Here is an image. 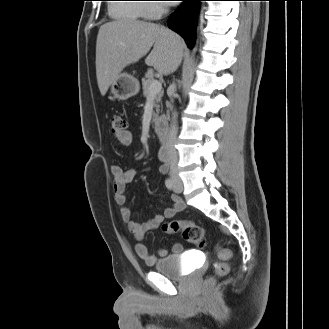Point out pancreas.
I'll return each instance as SVG.
<instances>
[{"label":"pancreas","mask_w":329,"mask_h":329,"mask_svg":"<svg viewBox=\"0 0 329 329\" xmlns=\"http://www.w3.org/2000/svg\"><path fill=\"white\" fill-rule=\"evenodd\" d=\"M154 80L155 79L153 77V73H147L145 75V77L142 79L143 95L147 99H149L151 97L149 88H150L152 81H154ZM162 96H163V91H160L159 93L154 95V107H155L156 112L153 113V122H156L158 119L159 107H160L159 103L161 102Z\"/></svg>","instance_id":"obj_1"}]
</instances>
